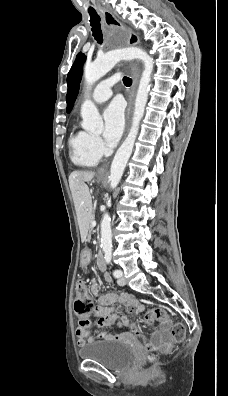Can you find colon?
I'll return each mask as SVG.
<instances>
[{"mask_svg":"<svg viewBox=\"0 0 228 396\" xmlns=\"http://www.w3.org/2000/svg\"><path fill=\"white\" fill-rule=\"evenodd\" d=\"M94 310L93 302L88 294L87 287L83 281H78L76 285V298L74 311L78 316V327L87 328L90 324L88 314ZM155 321L161 322L165 327L171 329L172 340L181 342L185 337V327L181 323H172L169 314L162 308H153L145 314V322L153 324Z\"/></svg>","mask_w":228,"mask_h":396,"instance_id":"colon-1","label":"colon"}]
</instances>
